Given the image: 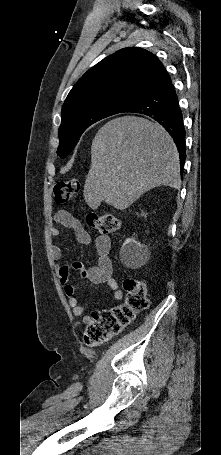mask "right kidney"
Wrapping results in <instances>:
<instances>
[{
	"label": "right kidney",
	"mask_w": 221,
	"mask_h": 455,
	"mask_svg": "<svg viewBox=\"0 0 221 455\" xmlns=\"http://www.w3.org/2000/svg\"><path fill=\"white\" fill-rule=\"evenodd\" d=\"M148 255V248L133 237L126 239L120 249L121 261L128 267H136Z\"/></svg>",
	"instance_id": "1"
}]
</instances>
